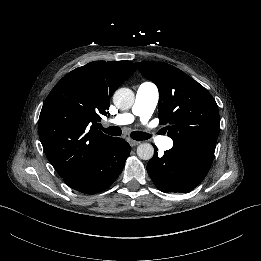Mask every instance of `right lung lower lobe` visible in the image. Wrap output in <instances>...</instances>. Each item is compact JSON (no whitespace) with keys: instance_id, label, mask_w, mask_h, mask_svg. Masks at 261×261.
Instances as JSON below:
<instances>
[{"instance_id":"obj_1","label":"right lung lower lobe","mask_w":261,"mask_h":261,"mask_svg":"<svg viewBox=\"0 0 261 261\" xmlns=\"http://www.w3.org/2000/svg\"><path fill=\"white\" fill-rule=\"evenodd\" d=\"M130 151L131 147L125 140L113 137L97 158L68 174L63 178L64 182L85 194L101 192L119 176Z\"/></svg>"}]
</instances>
